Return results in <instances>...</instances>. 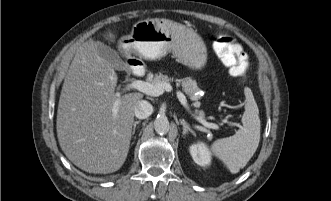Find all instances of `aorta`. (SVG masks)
Listing matches in <instances>:
<instances>
[{
	"label": "aorta",
	"mask_w": 331,
	"mask_h": 201,
	"mask_svg": "<svg viewBox=\"0 0 331 201\" xmlns=\"http://www.w3.org/2000/svg\"><path fill=\"white\" fill-rule=\"evenodd\" d=\"M154 128L158 134H166L170 129V125L167 117L165 116L157 117L154 121Z\"/></svg>",
	"instance_id": "obj_1"
}]
</instances>
